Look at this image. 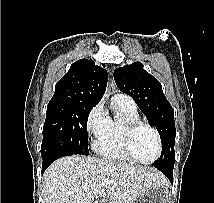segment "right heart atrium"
<instances>
[{
    "instance_id": "right-heart-atrium-1",
    "label": "right heart atrium",
    "mask_w": 214,
    "mask_h": 203,
    "mask_svg": "<svg viewBox=\"0 0 214 203\" xmlns=\"http://www.w3.org/2000/svg\"><path fill=\"white\" fill-rule=\"evenodd\" d=\"M109 117L103 103L99 102L89 112L86 119V130L89 137L97 139L106 129Z\"/></svg>"
}]
</instances>
